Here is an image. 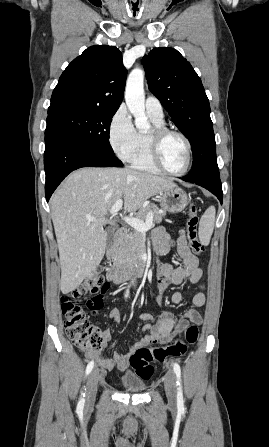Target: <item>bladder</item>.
<instances>
[{
  "label": "bladder",
  "instance_id": "1",
  "mask_svg": "<svg viewBox=\"0 0 269 447\" xmlns=\"http://www.w3.org/2000/svg\"><path fill=\"white\" fill-rule=\"evenodd\" d=\"M119 385L124 392L133 394H143L146 390V383L138 372H129L119 377Z\"/></svg>",
  "mask_w": 269,
  "mask_h": 447
}]
</instances>
